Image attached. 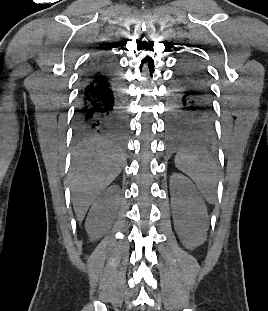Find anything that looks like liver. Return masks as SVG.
I'll use <instances>...</instances> for the list:
<instances>
[{
	"label": "liver",
	"instance_id": "obj_1",
	"mask_svg": "<svg viewBox=\"0 0 268 311\" xmlns=\"http://www.w3.org/2000/svg\"><path fill=\"white\" fill-rule=\"evenodd\" d=\"M122 170V156L110 145L101 144L74 154L70 187L77 220L82 222L95 199Z\"/></svg>",
	"mask_w": 268,
	"mask_h": 311
}]
</instances>
